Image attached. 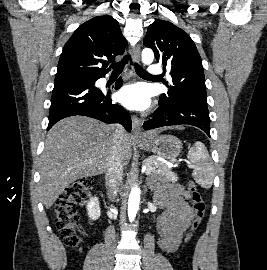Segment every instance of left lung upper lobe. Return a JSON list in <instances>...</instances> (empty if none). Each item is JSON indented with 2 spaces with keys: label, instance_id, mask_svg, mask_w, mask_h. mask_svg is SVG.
I'll return each instance as SVG.
<instances>
[{
  "label": "left lung upper lobe",
  "instance_id": "1",
  "mask_svg": "<svg viewBox=\"0 0 267 270\" xmlns=\"http://www.w3.org/2000/svg\"><path fill=\"white\" fill-rule=\"evenodd\" d=\"M144 45L154 51L157 62L170 71L172 82L167 94L159 102L171 105L179 102H195L207 105V94L202 60L190 36L165 20L152 23L144 39Z\"/></svg>",
  "mask_w": 267,
  "mask_h": 270
}]
</instances>
